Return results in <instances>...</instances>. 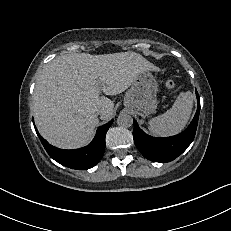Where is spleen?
Wrapping results in <instances>:
<instances>
[{
  "label": "spleen",
  "instance_id": "spleen-1",
  "mask_svg": "<svg viewBox=\"0 0 231 231\" xmlns=\"http://www.w3.org/2000/svg\"><path fill=\"white\" fill-rule=\"evenodd\" d=\"M192 107V93L189 91L181 92L169 110L149 120V131L160 137L178 134L188 123Z\"/></svg>",
  "mask_w": 231,
  "mask_h": 231
}]
</instances>
